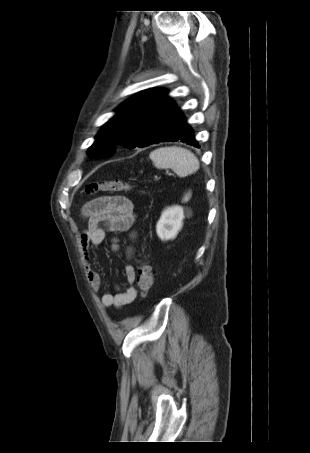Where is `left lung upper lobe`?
<instances>
[{"instance_id": "left-lung-upper-lobe-1", "label": "left lung upper lobe", "mask_w": 310, "mask_h": 453, "mask_svg": "<svg viewBox=\"0 0 310 453\" xmlns=\"http://www.w3.org/2000/svg\"><path fill=\"white\" fill-rule=\"evenodd\" d=\"M176 111V104L165 90L143 91L117 109V114L99 131L87 154L104 157L114 152L115 145L133 149L157 143L169 129Z\"/></svg>"}]
</instances>
